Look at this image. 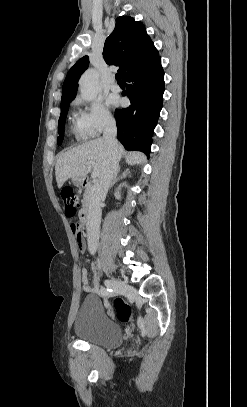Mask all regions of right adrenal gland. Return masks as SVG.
Masks as SVG:
<instances>
[{"label":"right adrenal gland","mask_w":247,"mask_h":407,"mask_svg":"<svg viewBox=\"0 0 247 407\" xmlns=\"http://www.w3.org/2000/svg\"><path fill=\"white\" fill-rule=\"evenodd\" d=\"M118 173H119V169H118V171L116 172V174H115V176H114V178H113V180H112V182H111V186H113L119 179L125 178L127 175H129V174H130V171H129V169H126V170L122 173V175L119 176V177H118Z\"/></svg>","instance_id":"1"}]
</instances>
